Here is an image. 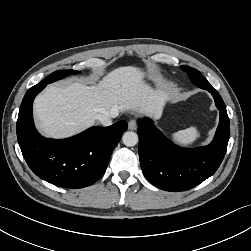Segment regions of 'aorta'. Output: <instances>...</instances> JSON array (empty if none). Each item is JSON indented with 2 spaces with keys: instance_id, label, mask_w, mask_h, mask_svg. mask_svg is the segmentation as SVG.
I'll return each mask as SVG.
<instances>
[{
  "instance_id": "aorta-1",
  "label": "aorta",
  "mask_w": 251,
  "mask_h": 251,
  "mask_svg": "<svg viewBox=\"0 0 251 251\" xmlns=\"http://www.w3.org/2000/svg\"><path fill=\"white\" fill-rule=\"evenodd\" d=\"M122 142L125 146L133 147L138 143V135L132 131L125 132L122 136Z\"/></svg>"
}]
</instances>
